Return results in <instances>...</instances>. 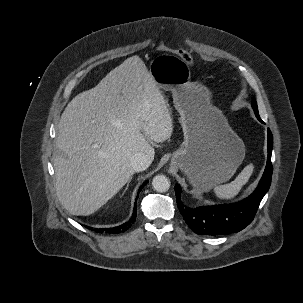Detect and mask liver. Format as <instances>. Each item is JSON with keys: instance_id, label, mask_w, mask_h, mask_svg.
Here are the masks:
<instances>
[{"instance_id": "6515ba94", "label": "liver", "mask_w": 303, "mask_h": 303, "mask_svg": "<svg viewBox=\"0 0 303 303\" xmlns=\"http://www.w3.org/2000/svg\"><path fill=\"white\" fill-rule=\"evenodd\" d=\"M172 132L167 102L143 60L127 58L61 115L56 144L64 156L53 164L60 202L73 215L94 213L130 180L135 154L154 159L145 136L161 143Z\"/></svg>"}]
</instances>
